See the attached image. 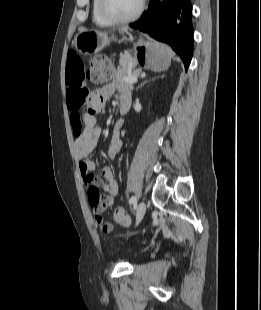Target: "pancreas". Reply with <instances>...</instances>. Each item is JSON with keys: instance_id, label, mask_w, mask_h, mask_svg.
<instances>
[{"instance_id": "obj_1", "label": "pancreas", "mask_w": 261, "mask_h": 310, "mask_svg": "<svg viewBox=\"0 0 261 310\" xmlns=\"http://www.w3.org/2000/svg\"><path fill=\"white\" fill-rule=\"evenodd\" d=\"M119 64L121 67V74L117 75L116 78L121 81L122 89H131L132 85L125 82L123 77H137L140 75L141 69H134L135 61L127 53L120 54Z\"/></svg>"}]
</instances>
